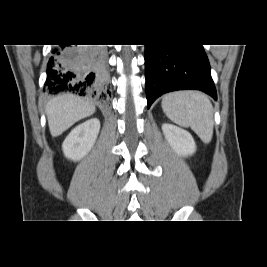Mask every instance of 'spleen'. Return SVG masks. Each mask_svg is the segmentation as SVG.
<instances>
[{"label":"spleen","instance_id":"3e777b00","mask_svg":"<svg viewBox=\"0 0 267 267\" xmlns=\"http://www.w3.org/2000/svg\"><path fill=\"white\" fill-rule=\"evenodd\" d=\"M166 116L174 123L191 129L204 143L213 135V107L208 97L198 91L167 94L161 103Z\"/></svg>","mask_w":267,"mask_h":267}]
</instances>
